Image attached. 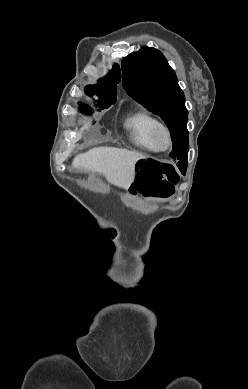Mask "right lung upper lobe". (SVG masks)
<instances>
[{"label":"right lung upper lobe","instance_id":"1","mask_svg":"<svg viewBox=\"0 0 248 389\" xmlns=\"http://www.w3.org/2000/svg\"><path fill=\"white\" fill-rule=\"evenodd\" d=\"M120 68L118 64L102 79L98 80L101 84L90 85L86 87V92L97 94L98 96L116 97L117 83L120 82Z\"/></svg>","mask_w":248,"mask_h":389}]
</instances>
